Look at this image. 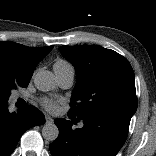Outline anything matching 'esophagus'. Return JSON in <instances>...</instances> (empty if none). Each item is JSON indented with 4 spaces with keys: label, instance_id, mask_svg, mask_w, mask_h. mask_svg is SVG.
<instances>
[{
    "label": "esophagus",
    "instance_id": "obj_1",
    "mask_svg": "<svg viewBox=\"0 0 156 156\" xmlns=\"http://www.w3.org/2000/svg\"><path fill=\"white\" fill-rule=\"evenodd\" d=\"M45 121H46V124L53 123V119L50 116H48V115H45Z\"/></svg>",
    "mask_w": 156,
    "mask_h": 156
}]
</instances>
